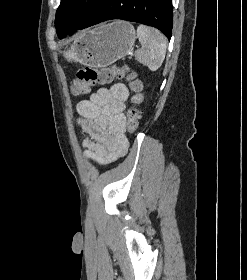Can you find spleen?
<instances>
[{
    "label": "spleen",
    "mask_w": 247,
    "mask_h": 280,
    "mask_svg": "<svg viewBox=\"0 0 247 280\" xmlns=\"http://www.w3.org/2000/svg\"><path fill=\"white\" fill-rule=\"evenodd\" d=\"M137 37L141 48L135 53L136 60L151 71H156L165 59L167 48L165 36L155 28L139 25Z\"/></svg>",
    "instance_id": "1"
}]
</instances>
